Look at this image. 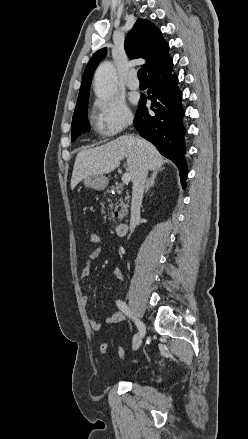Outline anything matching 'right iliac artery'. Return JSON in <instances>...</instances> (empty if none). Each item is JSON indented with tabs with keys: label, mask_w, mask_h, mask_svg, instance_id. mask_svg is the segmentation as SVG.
<instances>
[{
	"label": "right iliac artery",
	"mask_w": 248,
	"mask_h": 439,
	"mask_svg": "<svg viewBox=\"0 0 248 439\" xmlns=\"http://www.w3.org/2000/svg\"><path fill=\"white\" fill-rule=\"evenodd\" d=\"M116 303L120 310H122L126 315L133 319V321L135 322V327L140 329L139 334L141 336H144L146 334V326L144 325V322H140L138 319L132 316L129 307L126 305L125 302L118 300Z\"/></svg>",
	"instance_id": "1"
}]
</instances>
